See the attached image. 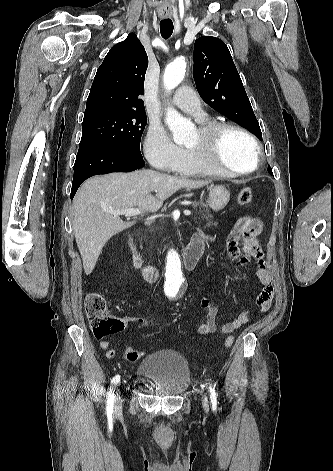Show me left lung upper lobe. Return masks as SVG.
Returning a JSON list of instances; mask_svg holds the SVG:
<instances>
[{
	"label": "left lung upper lobe",
	"mask_w": 333,
	"mask_h": 471,
	"mask_svg": "<svg viewBox=\"0 0 333 471\" xmlns=\"http://www.w3.org/2000/svg\"><path fill=\"white\" fill-rule=\"evenodd\" d=\"M193 76L200 96L209 106L262 140L259 123L222 40L203 36L195 41ZM268 172L273 175L270 166Z\"/></svg>",
	"instance_id": "5c2ea615"
}]
</instances>
